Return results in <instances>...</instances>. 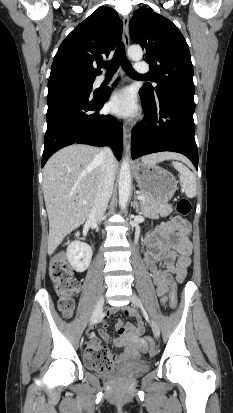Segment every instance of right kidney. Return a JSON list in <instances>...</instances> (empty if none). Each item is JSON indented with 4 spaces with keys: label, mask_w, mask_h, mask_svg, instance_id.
Masks as SVG:
<instances>
[{
    "label": "right kidney",
    "mask_w": 233,
    "mask_h": 413,
    "mask_svg": "<svg viewBox=\"0 0 233 413\" xmlns=\"http://www.w3.org/2000/svg\"><path fill=\"white\" fill-rule=\"evenodd\" d=\"M75 236L78 237L79 232ZM92 254L88 244L75 240L68 245L66 257L76 272H84L90 265Z\"/></svg>",
    "instance_id": "1"
}]
</instances>
